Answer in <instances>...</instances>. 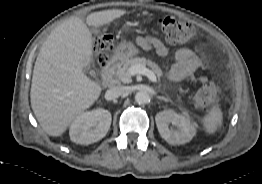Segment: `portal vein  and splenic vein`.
I'll return each instance as SVG.
<instances>
[{"instance_id": "portal-vein-and-splenic-vein-1", "label": "portal vein and splenic vein", "mask_w": 262, "mask_h": 184, "mask_svg": "<svg viewBox=\"0 0 262 184\" xmlns=\"http://www.w3.org/2000/svg\"><path fill=\"white\" fill-rule=\"evenodd\" d=\"M129 74L131 76H134V75H145L147 76L152 82H156L157 79H156V76L155 74L149 70L148 68H146L145 66L143 65H135V66H132L130 69H129Z\"/></svg>"}]
</instances>
